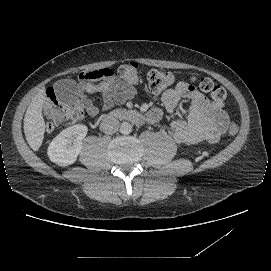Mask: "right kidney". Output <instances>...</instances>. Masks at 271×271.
<instances>
[{"label": "right kidney", "instance_id": "obj_1", "mask_svg": "<svg viewBox=\"0 0 271 271\" xmlns=\"http://www.w3.org/2000/svg\"><path fill=\"white\" fill-rule=\"evenodd\" d=\"M87 133V127L76 124L61 131L48 148L50 159L59 165L73 163L82 147V141Z\"/></svg>", "mask_w": 271, "mask_h": 271}]
</instances>
